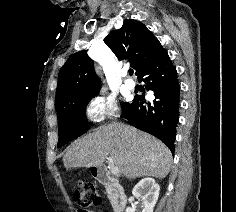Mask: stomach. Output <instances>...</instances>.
Segmentation results:
<instances>
[{
	"label": "stomach",
	"mask_w": 236,
	"mask_h": 212,
	"mask_svg": "<svg viewBox=\"0 0 236 212\" xmlns=\"http://www.w3.org/2000/svg\"><path fill=\"white\" fill-rule=\"evenodd\" d=\"M92 173H93L94 176H96L97 175V169H93Z\"/></svg>",
	"instance_id": "1"
}]
</instances>
